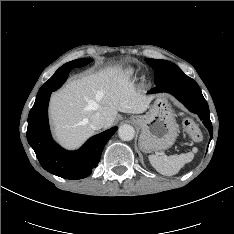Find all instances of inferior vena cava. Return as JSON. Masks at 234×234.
<instances>
[{
	"label": "inferior vena cava",
	"mask_w": 234,
	"mask_h": 234,
	"mask_svg": "<svg viewBox=\"0 0 234 234\" xmlns=\"http://www.w3.org/2000/svg\"><path fill=\"white\" fill-rule=\"evenodd\" d=\"M105 125V118L99 114V113H95L92 117H91V128L94 130H99L101 128H103Z\"/></svg>",
	"instance_id": "1"
}]
</instances>
